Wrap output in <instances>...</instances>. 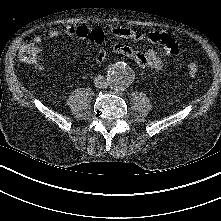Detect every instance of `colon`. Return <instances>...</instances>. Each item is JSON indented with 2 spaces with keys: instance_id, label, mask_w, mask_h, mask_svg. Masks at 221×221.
<instances>
[{
  "instance_id": "1",
  "label": "colon",
  "mask_w": 221,
  "mask_h": 221,
  "mask_svg": "<svg viewBox=\"0 0 221 221\" xmlns=\"http://www.w3.org/2000/svg\"><path fill=\"white\" fill-rule=\"evenodd\" d=\"M39 49L35 43L26 41L19 50V58L23 63L33 64L37 61ZM185 72L190 77H195L199 72V66L195 62H190L185 68Z\"/></svg>"
}]
</instances>
